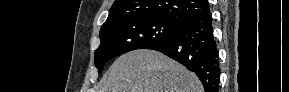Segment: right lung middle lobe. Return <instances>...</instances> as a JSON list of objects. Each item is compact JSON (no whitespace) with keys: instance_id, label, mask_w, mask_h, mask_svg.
Here are the masks:
<instances>
[{"instance_id":"obj_1","label":"right lung middle lobe","mask_w":289,"mask_h":92,"mask_svg":"<svg viewBox=\"0 0 289 92\" xmlns=\"http://www.w3.org/2000/svg\"><path fill=\"white\" fill-rule=\"evenodd\" d=\"M181 27L182 23L179 22L143 17L122 20L101 28V43L95 51V65L100 73L111 58L170 39Z\"/></svg>"}]
</instances>
